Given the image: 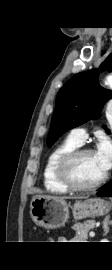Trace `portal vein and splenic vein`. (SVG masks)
Returning a JSON list of instances; mask_svg holds the SVG:
<instances>
[{"label":"portal vein and splenic vein","mask_w":112,"mask_h":270,"mask_svg":"<svg viewBox=\"0 0 112 270\" xmlns=\"http://www.w3.org/2000/svg\"><path fill=\"white\" fill-rule=\"evenodd\" d=\"M89 235H90V237H94V236H95V232L91 231V232L89 233Z\"/></svg>","instance_id":"18ae733b"}]
</instances>
